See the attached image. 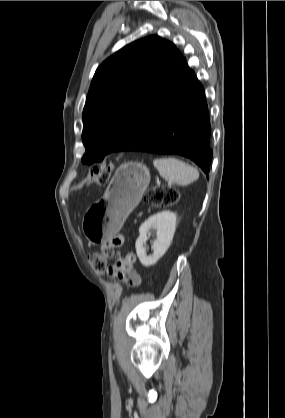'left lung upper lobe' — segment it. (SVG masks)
I'll return each mask as SVG.
<instances>
[{
    "mask_svg": "<svg viewBox=\"0 0 285 418\" xmlns=\"http://www.w3.org/2000/svg\"><path fill=\"white\" fill-rule=\"evenodd\" d=\"M183 59L173 43L152 35L125 46L97 68L83 109V163L126 148Z\"/></svg>",
    "mask_w": 285,
    "mask_h": 418,
    "instance_id": "5c2ea615",
    "label": "left lung upper lobe"
}]
</instances>
